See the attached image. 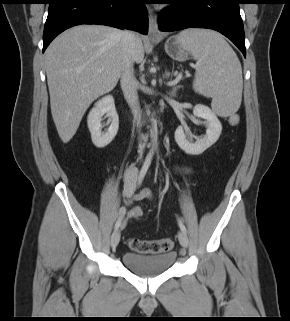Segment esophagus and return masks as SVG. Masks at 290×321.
Instances as JSON below:
<instances>
[{
	"instance_id": "obj_1",
	"label": "esophagus",
	"mask_w": 290,
	"mask_h": 321,
	"mask_svg": "<svg viewBox=\"0 0 290 321\" xmlns=\"http://www.w3.org/2000/svg\"><path fill=\"white\" fill-rule=\"evenodd\" d=\"M149 13V28H148V35L147 38L150 40L158 39L160 36V32L158 29V23H157V15L153 12L152 9L148 10Z\"/></svg>"
}]
</instances>
